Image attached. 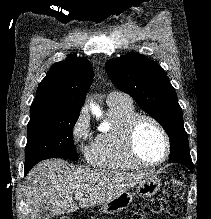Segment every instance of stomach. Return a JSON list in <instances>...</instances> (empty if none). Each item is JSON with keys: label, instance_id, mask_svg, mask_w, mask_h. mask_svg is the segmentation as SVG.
<instances>
[{"label": "stomach", "instance_id": "obj_1", "mask_svg": "<svg viewBox=\"0 0 211 219\" xmlns=\"http://www.w3.org/2000/svg\"><path fill=\"white\" fill-rule=\"evenodd\" d=\"M161 186L156 175H149L143 182L137 184L136 192L140 197H151L155 195ZM134 194L125 191L112 200L104 203L101 211L106 214H115L126 209L133 201Z\"/></svg>", "mask_w": 211, "mask_h": 219}]
</instances>
